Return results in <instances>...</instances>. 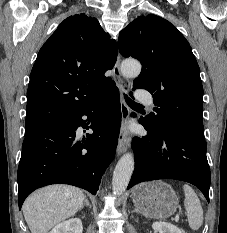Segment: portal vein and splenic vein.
I'll return each mask as SVG.
<instances>
[{
    "label": "portal vein and splenic vein",
    "mask_w": 227,
    "mask_h": 233,
    "mask_svg": "<svg viewBox=\"0 0 227 233\" xmlns=\"http://www.w3.org/2000/svg\"><path fill=\"white\" fill-rule=\"evenodd\" d=\"M179 217H180V215H179V214H176V216H175V218H174V220H175L176 223L179 222Z\"/></svg>",
    "instance_id": "1"
}]
</instances>
